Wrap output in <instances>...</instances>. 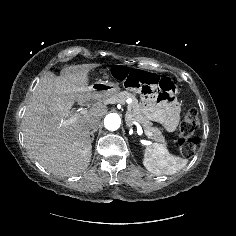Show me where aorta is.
I'll return each instance as SVG.
<instances>
[{
  "instance_id": "obj_1",
  "label": "aorta",
  "mask_w": 236,
  "mask_h": 236,
  "mask_svg": "<svg viewBox=\"0 0 236 236\" xmlns=\"http://www.w3.org/2000/svg\"><path fill=\"white\" fill-rule=\"evenodd\" d=\"M121 118L116 113L108 114L104 119L105 128L110 131H115L120 127Z\"/></svg>"
}]
</instances>
